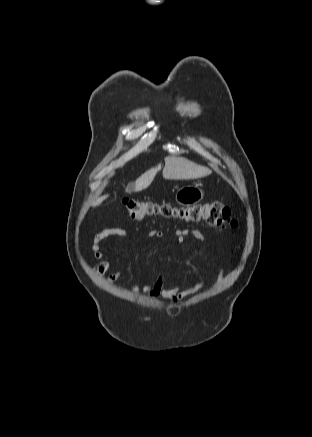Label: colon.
<instances>
[{"mask_svg": "<svg viewBox=\"0 0 312 437\" xmlns=\"http://www.w3.org/2000/svg\"><path fill=\"white\" fill-rule=\"evenodd\" d=\"M124 205L129 216L134 221L156 214L165 217H178L185 221H204L209 225L223 230L235 228L237 221L232 217L230 210L221 202L208 201L184 208H176L169 203H155L142 199H124Z\"/></svg>", "mask_w": 312, "mask_h": 437, "instance_id": "colon-1", "label": "colon"}]
</instances>
